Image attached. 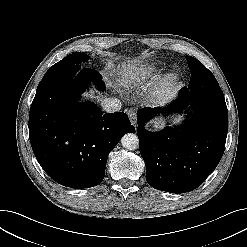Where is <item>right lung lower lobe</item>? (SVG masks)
<instances>
[{"label":"right lung lower lobe","instance_id":"right-lung-lower-lobe-1","mask_svg":"<svg viewBox=\"0 0 247 247\" xmlns=\"http://www.w3.org/2000/svg\"><path fill=\"white\" fill-rule=\"evenodd\" d=\"M104 90L93 69L67 68L46 72L29 114V138L43 170L57 183L71 188L98 185L105 176L108 154L121 137L135 128L126 113L103 114L81 92L90 82Z\"/></svg>","mask_w":247,"mask_h":247}]
</instances>
